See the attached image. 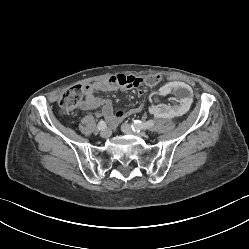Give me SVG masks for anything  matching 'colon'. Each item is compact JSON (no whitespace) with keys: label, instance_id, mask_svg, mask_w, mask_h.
I'll list each match as a JSON object with an SVG mask.
<instances>
[{"label":"colon","instance_id":"5ec220e1","mask_svg":"<svg viewBox=\"0 0 249 249\" xmlns=\"http://www.w3.org/2000/svg\"><path fill=\"white\" fill-rule=\"evenodd\" d=\"M162 80L161 74H156L153 76L145 75L139 78H134L130 81V84L136 88L135 95L137 97L145 96L148 93L146 87L140 88L143 84L148 87H152L157 82ZM85 98L84 87L81 85H75L67 89L61 96L60 106L62 111L65 113L74 112L80 106Z\"/></svg>","mask_w":249,"mask_h":249}]
</instances>
